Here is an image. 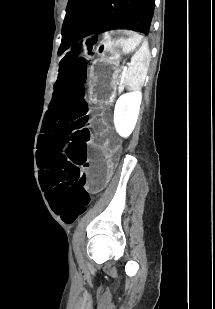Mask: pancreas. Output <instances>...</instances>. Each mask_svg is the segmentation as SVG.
Masks as SVG:
<instances>
[{"label":"pancreas","mask_w":215,"mask_h":309,"mask_svg":"<svg viewBox=\"0 0 215 309\" xmlns=\"http://www.w3.org/2000/svg\"><path fill=\"white\" fill-rule=\"evenodd\" d=\"M118 90H119V92H121V90H123V84H119Z\"/></svg>","instance_id":"pancreas-1"}]
</instances>
